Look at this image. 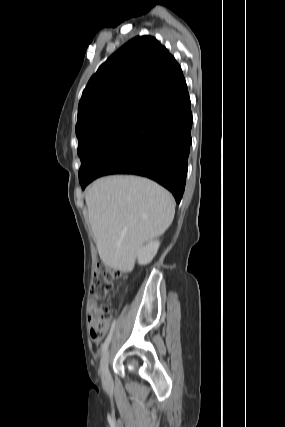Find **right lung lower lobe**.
Returning <instances> with one entry per match:
<instances>
[{
  "label": "right lung lower lobe",
  "instance_id": "right-lung-lower-lobe-1",
  "mask_svg": "<svg viewBox=\"0 0 285 427\" xmlns=\"http://www.w3.org/2000/svg\"><path fill=\"white\" fill-rule=\"evenodd\" d=\"M184 77L154 95L82 188L108 174H135L182 199L191 145L192 113Z\"/></svg>",
  "mask_w": 285,
  "mask_h": 427
}]
</instances>
